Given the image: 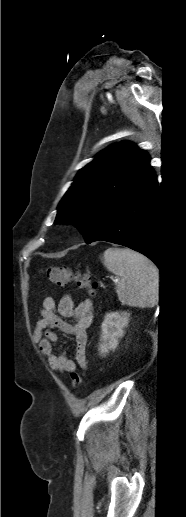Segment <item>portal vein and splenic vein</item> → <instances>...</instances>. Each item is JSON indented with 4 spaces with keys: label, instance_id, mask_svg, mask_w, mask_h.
Returning a JSON list of instances; mask_svg holds the SVG:
<instances>
[{
    "label": "portal vein and splenic vein",
    "instance_id": "1",
    "mask_svg": "<svg viewBox=\"0 0 186 517\" xmlns=\"http://www.w3.org/2000/svg\"><path fill=\"white\" fill-rule=\"evenodd\" d=\"M113 281H114V282H117V281H118V279H114Z\"/></svg>",
    "mask_w": 186,
    "mask_h": 517
}]
</instances>
